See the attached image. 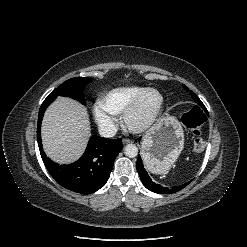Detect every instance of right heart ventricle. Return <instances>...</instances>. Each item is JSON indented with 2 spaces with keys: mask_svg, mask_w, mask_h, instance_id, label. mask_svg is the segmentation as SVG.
I'll return each instance as SVG.
<instances>
[{
  "mask_svg": "<svg viewBox=\"0 0 247 247\" xmlns=\"http://www.w3.org/2000/svg\"><path fill=\"white\" fill-rule=\"evenodd\" d=\"M146 87L128 86L113 89L101 98L102 105L113 115H119L124 112L128 105L143 91Z\"/></svg>",
  "mask_w": 247,
  "mask_h": 247,
  "instance_id": "obj_1",
  "label": "right heart ventricle"
}]
</instances>
